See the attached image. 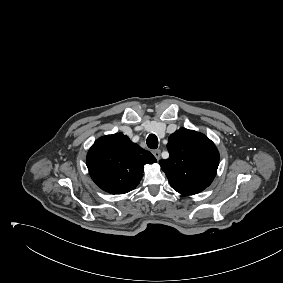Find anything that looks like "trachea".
<instances>
[{
    "instance_id": "1",
    "label": "trachea",
    "mask_w": 283,
    "mask_h": 283,
    "mask_svg": "<svg viewBox=\"0 0 283 283\" xmlns=\"http://www.w3.org/2000/svg\"><path fill=\"white\" fill-rule=\"evenodd\" d=\"M147 146L150 149H157L158 147V138L155 134H150L146 140Z\"/></svg>"
}]
</instances>
